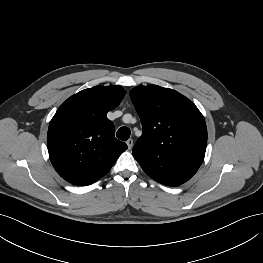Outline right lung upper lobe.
Instances as JSON below:
<instances>
[{
  "label": "right lung upper lobe",
  "instance_id": "cb5924a9",
  "mask_svg": "<svg viewBox=\"0 0 263 263\" xmlns=\"http://www.w3.org/2000/svg\"><path fill=\"white\" fill-rule=\"evenodd\" d=\"M126 91L120 86H95L69 97L52 118L47 136L49 157L66 181L90 185L106 175L127 149L114 137L106 117Z\"/></svg>",
  "mask_w": 263,
  "mask_h": 263
}]
</instances>
